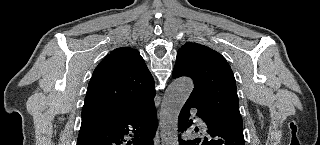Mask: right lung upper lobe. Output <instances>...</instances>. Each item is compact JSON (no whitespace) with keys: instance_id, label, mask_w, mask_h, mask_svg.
Listing matches in <instances>:
<instances>
[{"instance_id":"1","label":"right lung upper lobe","mask_w":320,"mask_h":145,"mask_svg":"<svg viewBox=\"0 0 320 145\" xmlns=\"http://www.w3.org/2000/svg\"><path fill=\"white\" fill-rule=\"evenodd\" d=\"M155 96L154 80L138 50L121 47L96 67L88 85L81 125L128 117Z\"/></svg>"}]
</instances>
